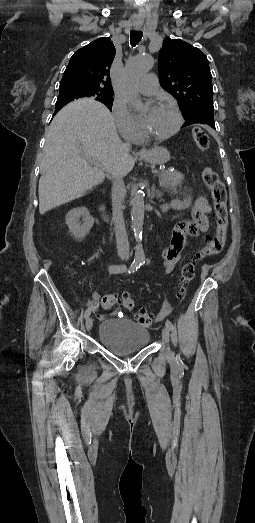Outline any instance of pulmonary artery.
<instances>
[{
    "instance_id": "pulmonary-artery-1",
    "label": "pulmonary artery",
    "mask_w": 255,
    "mask_h": 523,
    "mask_svg": "<svg viewBox=\"0 0 255 523\" xmlns=\"http://www.w3.org/2000/svg\"><path fill=\"white\" fill-rule=\"evenodd\" d=\"M156 78L157 75L155 72H148L147 75L138 83L139 92H143L147 97L152 96V94L159 95L161 93V88L158 86L157 81H155Z\"/></svg>"
}]
</instances>
